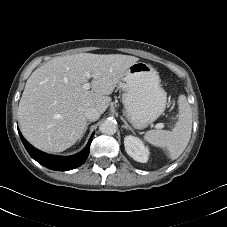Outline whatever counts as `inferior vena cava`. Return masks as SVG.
I'll use <instances>...</instances> for the list:
<instances>
[{
	"instance_id": "inferior-vena-cava-1",
	"label": "inferior vena cava",
	"mask_w": 227,
	"mask_h": 227,
	"mask_svg": "<svg viewBox=\"0 0 227 227\" xmlns=\"http://www.w3.org/2000/svg\"><path fill=\"white\" fill-rule=\"evenodd\" d=\"M85 117L89 120V121H96L99 119L100 117V112L96 109V108H88L85 111Z\"/></svg>"
}]
</instances>
